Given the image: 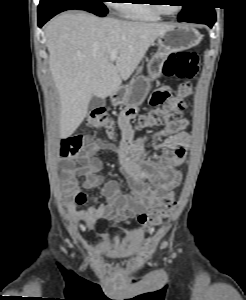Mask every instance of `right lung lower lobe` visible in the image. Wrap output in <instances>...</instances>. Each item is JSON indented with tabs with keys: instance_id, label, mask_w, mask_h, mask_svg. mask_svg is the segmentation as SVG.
<instances>
[{
	"instance_id": "right-lung-lower-lobe-1",
	"label": "right lung lower lobe",
	"mask_w": 246,
	"mask_h": 300,
	"mask_svg": "<svg viewBox=\"0 0 246 300\" xmlns=\"http://www.w3.org/2000/svg\"><path fill=\"white\" fill-rule=\"evenodd\" d=\"M72 9H80V7L72 5H57L49 8L45 12L38 13V26L41 28L48 20H50L56 14Z\"/></svg>"
}]
</instances>
